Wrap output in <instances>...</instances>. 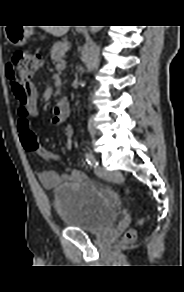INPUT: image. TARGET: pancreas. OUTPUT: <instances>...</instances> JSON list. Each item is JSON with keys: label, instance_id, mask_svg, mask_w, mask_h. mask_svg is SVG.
I'll return each instance as SVG.
<instances>
[{"label": "pancreas", "instance_id": "obj_1", "mask_svg": "<svg viewBox=\"0 0 184 292\" xmlns=\"http://www.w3.org/2000/svg\"><path fill=\"white\" fill-rule=\"evenodd\" d=\"M69 48L70 44L66 41L55 43L51 49V59L55 62L61 61Z\"/></svg>", "mask_w": 184, "mask_h": 292}]
</instances>
